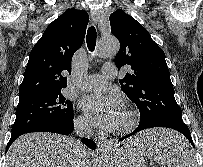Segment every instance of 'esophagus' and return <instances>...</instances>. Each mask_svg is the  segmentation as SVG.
<instances>
[{
	"mask_svg": "<svg viewBox=\"0 0 203 167\" xmlns=\"http://www.w3.org/2000/svg\"><path fill=\"white\" fill-rule=\"evenodd\" d=\"M90 16H91V19L92 21L95 23V24H98L99 23V20H100V13L99 11L97 10H92L90 12ZM113 145V142L111 139L105 137V136H102V137H99L98 140H97V149L101 152H105L107 150H109Z\"/></svg>",
	"mask_w": 203,
	"mask_h": 167,
	"instance_id": "obj_1",
	"label": "esophagus"
}]
</instances>
